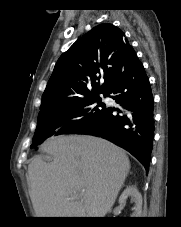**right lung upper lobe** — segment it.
Here are the masks:
<instances>
[{
    "label": "right lung upper lobe",
    "instance_id": "obj_1",
    "mask_svg": "<svg viewBox=\"0 0 181 227\" xmlns=\"http://www.w3.org/2000/svg\"><path fill=\"white\" fill-rule=\"evenodd\" d=\"M134 56L132 46L119 28L112 24L94 27L58 59L42 95L40 110L108 92Z\"/></svg>",
    "mask_w": 181,
    "mask_h": 227
}]
</instances>
